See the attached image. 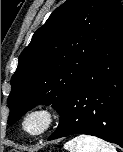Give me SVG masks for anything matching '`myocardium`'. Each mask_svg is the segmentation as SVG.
Returning a JSON list of instances; mask_svg holds the SVG:
<instances>
[{
    "mask_svg": "<svg viewBox=\"0 0 123 152\" xmlns=\"http://www.w3.org/2000/svg\"><path fill=\"white\" fill-rule=\"evenodd\" d=\"M36 115H41L44 118V124L37 131H30L27 127V123L30 118ZM56 119H57V114L53 108H51L50 106H44V105L37 106L29 110L24 115L23 120H22V128L27 134L31 136H41L53 127V125L56 122Z\"/></svg>",
    "mask_w": 123,
    "mask_h": 152,
    "instance_id": "obj_1",
    "label": "myocardium"
}]
</instances>
